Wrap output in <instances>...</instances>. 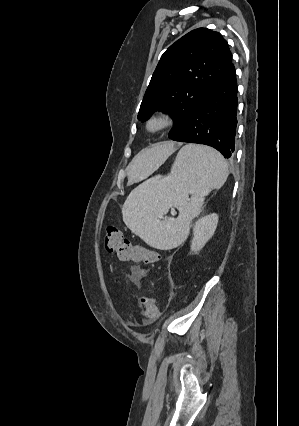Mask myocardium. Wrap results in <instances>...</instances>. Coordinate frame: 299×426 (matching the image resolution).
Wrapping results in <instances>:
<instances>
[{"mask_svg": "<svg viewBox=\"0 0 299 426\" xmlns=\"http://www.w3.org/2000/svg\"><path fill=\"white\" fill-rule=\"evenodd\" d=\"M173 124V118L166 111H157L151 114L145 121V130L150 134L160 133Z\"/></svg>", "mask_w": 299, "mask_h": 426, "instance_id": "1", "label": "myocardium"}]
</instances>
